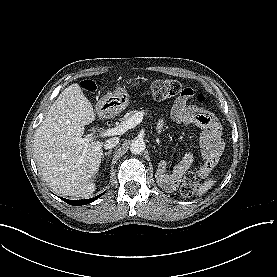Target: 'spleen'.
<instances>
[{
	"label": "spleen",
	"mask_w": 277,
	"mask_h": 277,
	"mask_svg": "<svg viewBox=\"0 0 277 277\" xmlns=\"http://www.w3.org/2000/svg\"><path fill=\"white\" fill-rule=\"evenodd\" d=\"M215 181L213 179H209L205 181L198 189V194L202 195L203 193H206L213 185Z\"/></svg>",
	"instance_id": "spleen-1"
}]
</instances>
